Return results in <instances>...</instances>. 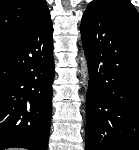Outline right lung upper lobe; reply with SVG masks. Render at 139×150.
<instances>
[{"label": "right lung upper lobe", "mask_w": 139, "mask_h": 150, "mask_svg": "<svg viewBox=\"0 0 139 150\" xmlns=\"http://www.w3.org/2000/svg\"><path fill=\"white\" fill-rule=\"evenodd\" d=\"M49 14L46 0H0V42L31 30Z\"/></svg>", "instance_id": "1"}]
</instances>
